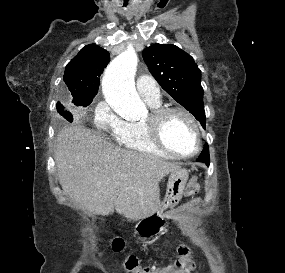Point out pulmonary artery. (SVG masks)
I'll return each mask as SVG.
<instances>
[{
    "mask_svg": "<svg viewBox=\"0 0 285 273\" xmlns=\"http://www.w3.org/2000/svg\"><path fill=\"white\" fill-rule=\"evenodd\" d=\"M136 87L140 96L148 103H160V88L149 75H139L136 79Z\"/></svg>",
    "mask_w": 285,
    "mask_h": 273,
    "instance_id": "pulmonary-artery-1",
    "label": "pulmonary artery"
}]
</instances>
